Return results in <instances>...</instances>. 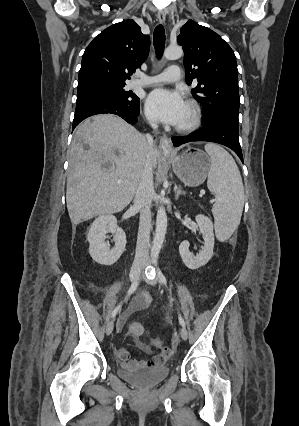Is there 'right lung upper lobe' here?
I'll list each match as a JSON object with an SVG mask.
<instances>
[{"label":"right lung upper lobe","mask_w":299,"mask_h":426,"mask_svg":"<svg viewBox=\"0 0 299 426\" xmlns=\"http://www.w3.org/2000/svg\"><path fill=\"white\" fill-rule=\"evenodd\" d=\"M150 37L134 20H124L103 30L85 49L78 86L125 84L148 56Z\"/></svg>","instance_id":"1"}]
</instances>
